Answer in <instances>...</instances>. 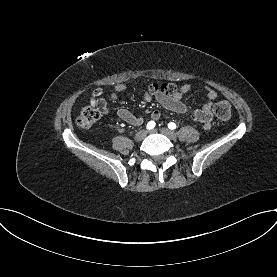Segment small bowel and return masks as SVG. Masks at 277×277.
Listing matches in <instances>:
<instances>
[{
    "label": "small bowel",
    "mask_w": 277,
    "mask_h": 277,
    "mask_svg": "<svg viewBox=\"0 0 277 277\" xmlns=\"http://www.w3.org/2000/svg\"><path fill=\"white\" fill-rule=\"evenodd\" d=\"M125 84H118L115 86L113 92L110 94V98L113 102H117L120 98V94L126 90ZM191 90L190 84H184L181 88L176 91L173 95H166L158 93L155 95L156 100L159 104L167 110L176 112L178 114L187 115L194 120L201 121L204 123V128L208 129L210 127L211 120V110L213 102L218 99L217 91L210 87L205 86L204 90L207 94V102L199 110H191L183 102L182 97ZM104 91L102 88H97L92 92L90 104L92 107L99 108L103 114H109L110 110L106 106L104 99L102 98ZM145 102H150L152 96L149 93L144 94ZM118 117L124 122L131 125H141L144 118L141 115H135L125 108H118L116 111ZM161 117L159 110H154L151 112V119L158 121Z\"/></svg>",
    "instance_id": "1"
}]
</instances>
